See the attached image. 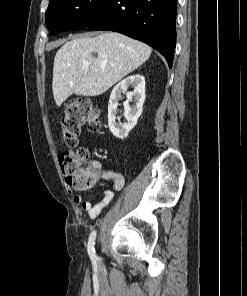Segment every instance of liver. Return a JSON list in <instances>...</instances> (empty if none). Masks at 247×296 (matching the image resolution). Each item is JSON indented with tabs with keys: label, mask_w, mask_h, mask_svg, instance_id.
I'll list each match as a JSON object with an SVG mask.
<instances>
[{
	"label": "liver",
	"mask_w": 247,
	"mask_h": 296,
	"mask_svg": "<svg viewBox=\"0 0 247 296\" xmlns=\"http://www.w3.org/2000/svg\"><path fill=\"white\" fill-rule=\"evenodd\" d=\"M151 52L145 43L117 32L85 35L66 42L54 58L52 89L56 105L60 107L73 94H103L147 61Z\"/></svg>",
	"instance_id": "liver-1"
}]
</instances>
